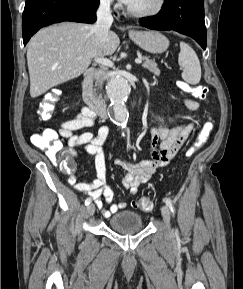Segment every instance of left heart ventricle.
<instances>
[{"mask_svg":"<svg viewBox=\"0 0 243 289\" xmlns=\"http://www.w3.org/2000/svg\"><path fill=\"white\" fill-rule=\"evenodd\" d=\"M155 2L156 0H132L128 6L133 10L142 11L153 7Z\"/></svg>","mask_w":243,"mask_h":289,"instance_id":"b2bd125f","label":"left heart ventricle"}]
</instances>
